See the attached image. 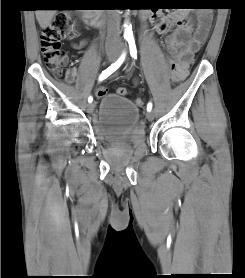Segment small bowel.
I'll list each match as a JSON object with an SVG mask.
<instances>
[{
	"label": "small bowel",
	"mask_w": 245,
	"mask_h": 278,
	"mask_svg": "<svg viewBox=\"0 0 245 278\" xmlns=\"http://www.w3.org/2000/svg\"><path fill=\"white\" fill-rule=\"evenodd\" d=\"M194 24L186 20L187 15L183 12H173L166 16L155 14L152 16L153 27L156 32L164 35V47L169 56V63L175 67L181 77L188 73L189 64L201 45L207 38L208 30L205 26L209 13L202 10H195L192 13ZM172 29V30H171ZM86 43L82 40L75 43V48H81ZM76 78V68L70 67L66 71L65 79L68 83H73ZM98 89L97 95L102 97L106 94Z\"/></svg>",
	"instance_id": "small-bowel-1"
}]
</instances>
